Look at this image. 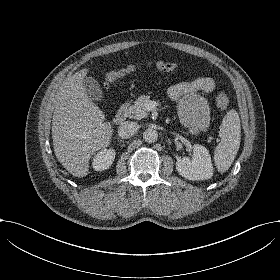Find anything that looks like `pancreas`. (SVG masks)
<instances>
[{
	"instance_id": "1",
	"label": "pancreas",
	"mask_w": 280,
	"mask_h": 280,
	"mask_svg": "<svg viewBox=\"0 0 280 280\" xmlns=\"http://www.w3.org/2000/svg\"><path fill=\"white\" fill-rule=\"evenodd\" d=\"M150 102V97L146 95L140 96L133 105L130 103H125V107L128 108V114L131 118L141 119L147 117L148 114L145 112V105ZM213 137H208L207 141L211 142Z\"/></svg>"
}]
</instances>
